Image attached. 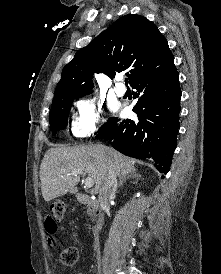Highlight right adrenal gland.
Listing matches in <instances>:
<instances>
[{
	"mask_svg": "<svg viewBox=\"0 0 221 274\" xmlns=\"http://www.w3.org/2000/svg\"><path fill=\"white\" fill-rule=\"evenodd\" d=\"M139 177H141V176L139 174L134 173V172L130 175L121 176L118 187H122L123 183L128 179H136V178H139Z\"/></svg>",
	"mask_w": 221,
	"mask_h": 274,
	"instance_id": "right-adrenal-gland-1",
	"label": "right adrenal gland"
}]
</instances>
